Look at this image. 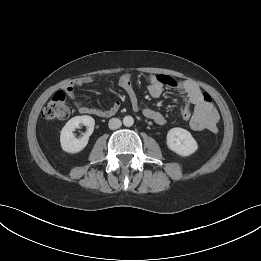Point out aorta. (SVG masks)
<instances>
[{"label": "aorta", "mask_w": 261, "mask_h": 261, "mask_svg": "<svg viewBox=\"0 0 261 261\" xmlns=\"http://www.w3.org/2000/svg\"><path fill=\"white\" fill-rule=\"evenodd\" d=\"M123 124L126 126V127H130L134 124V119L132 116H125L123 118Z\"/></svg>", "instance_id": "obj_1"}]
</instances>
